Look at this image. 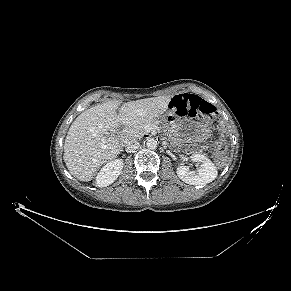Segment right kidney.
Wrapping results in <instances>:
<instances>
[{
	"instance_id": "obj_1",
	"label": "right kidney",
	"mask_w": 291,
	"mask_h": 291,
	"mask_svg": "<svg viewBox=\"0 0 291 291\" xmlns=\"http://www.w3.org/2000/svg\"><path fill=\"white\" fill-rule=\"evenodd\" d=\"M123 165L122 159H115L107 163L98 173L96 184L99 187H105L112 184L121 174Z\"/></svg>"
}]
</instances>
